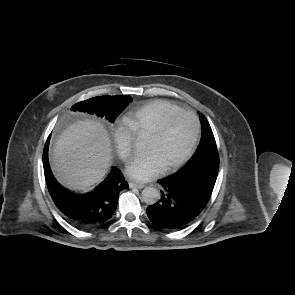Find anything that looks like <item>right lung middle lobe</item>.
Returning a JSON list of instances; mask_svg holds the SVG:
<instances>
[{
    "label": "right lung middle lobe",
    "mask_w": 295,
    "mask_h": 295,
    "mask_svg": "<svg viewBox=\"0 0 295 295\" xmlns=\"http://www.w3.org/2000/svg\"><path fill=\"white\" fill-rule=\"evenodd\" d=\"M132 101L130 96H100L94 97L75 104L71 109L73 111H83L89 114H95L98 117L106 118L114 122L116 117ZM45 163H48L46 158Z\"/></svg>",
    "instance_id": "dd1d6c3e"
}]
</instances>
